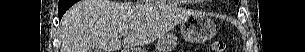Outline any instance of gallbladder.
Listing matches in <instances>:
<instances>
[{
	"instance_id": "bac80fb5",
	"label": "gallbladder",
	"mask_w": 305,
	"mask_h": 52,
	"mask_svg": "<svg viewBox=\"0 0 305 52\" xmlns=\"http://www.w3.org/2000/svg\"><path fill=\"white\" fill-rule=\"evenodd\" d=\"M98 52H101V49H98Z\"/></svg>"
}]
</instances>
